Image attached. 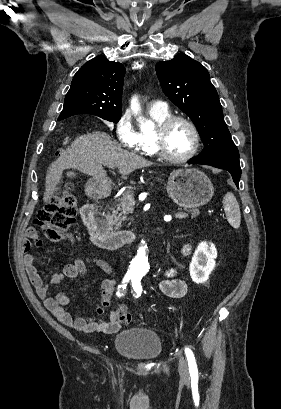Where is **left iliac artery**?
Masks as SVG:
<instances>
[{
    "mask_svg": "<svg viewBox=\"0 0 281 409\" xmlns=\"http://www.w3.org/2000/svg\"><path fill=\"white\" fill-rule=\"evenodd\" d=\"M140 280L141 279L138 277L132 278V288L136 293V298H138L142 293V286H141ZM185 353H186V357L188 360L190 375L193 379H197L198 370H197V365H196L194 354L189 348H185Z\"/></svg>",
    "mask_w": 281,
    "mask_h": 409,
    "instance_id": "44dca946",
    "label": "left iliac artery"
}]
</instances>
